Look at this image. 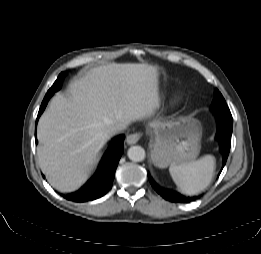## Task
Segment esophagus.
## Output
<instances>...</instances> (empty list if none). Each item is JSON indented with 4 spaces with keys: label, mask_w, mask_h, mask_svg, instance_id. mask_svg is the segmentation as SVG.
Wrapping results in <instances>:
<instances>
[{
    "label": "esophagus",
    "mask_w": 261,
    "mask_h": 254,
    "mask_svg": "<svg viewBox=\"0 0 261 254\" xmlns=\"http://www.w3.org/2000/svg\"><path fill=\"white\" fill-rule=\"evenodd\" d=\"M141 136H142L141 133L130 134L126 137V142L129 145L135 144L140 140Z\"/></svg>",
    "instance_id": "1"
}]
</instances>
